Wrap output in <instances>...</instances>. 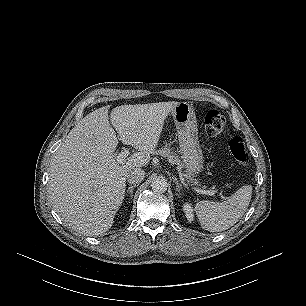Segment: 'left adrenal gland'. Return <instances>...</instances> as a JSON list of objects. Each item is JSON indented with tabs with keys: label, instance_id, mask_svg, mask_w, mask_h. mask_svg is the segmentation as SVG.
<instances>
[{
	"label": "left adrenal gland",
	"instance_id": "obj_1",
	"mask_svg": "<svg viewBox=\"0 0 306 306\" xmlns=\"http://www.w3.org/2000/svg\"><path fill=\"white\" fill-rule=\"evenodd\" d=\"M173 181L175 182L176 184V191L177 192H180V190L182 189V185L179 183V181L177 180V178L173 177Z\"/></svg>",
	"mask_w": 306,
	"mask_h": 306
}]
</instances>
